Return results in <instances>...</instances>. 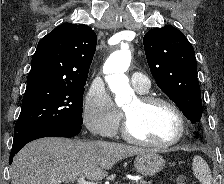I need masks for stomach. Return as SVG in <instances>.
<instances>
[{
    "label": "stomach",
    "mask_w": 224,
    "mask_h": 184,
    "mask_svg": "<svg viewBox=\"0 0 224 184\" xmlns=\"http://www.w3.org/2000/svg\"><path fill=\"white\" fill-rule=\"evenodd\" d=\"M134 166L138 173L144 176H154L165 166V160L154 151L140 153L134 160Z\"/></svg>",
    "instance_id": "obj_1"
}]
</instances>
